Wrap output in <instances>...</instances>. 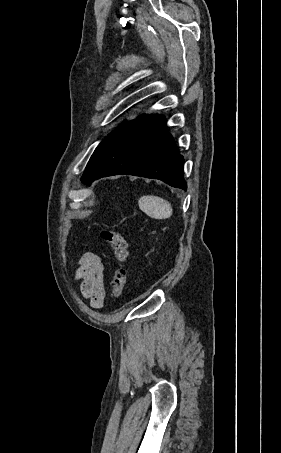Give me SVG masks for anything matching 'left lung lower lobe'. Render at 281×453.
Wrapping results in <instances>:
<instances>
[{"label":"left lung lower lobe","mask_w":281,"mask_h":453,"mask_svg":"<svg viewBox=\"0 0 281 453\" xmlns=\"http://www.w3.org/2000/svg\"><path fill=\"white\" fill-rule=\"evenodd\" d=\"M183 163L172 136L167 133L164 117L142 115L123 122L110 134L88 162L81 181L90 185L101 177L130 174L186 189Z\"/></svg>","instance_id":"1"}]
</instances>
